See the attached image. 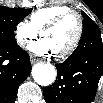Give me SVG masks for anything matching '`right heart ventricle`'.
Here are the masks:
<instances>
[{"instance_id":"1","label":"right heart ventricle","mask_w":103,"mask_h":103,"mask_svg":"<svg viewBox=\"0 0 103 103\" xmlns=\"http://www.w3.org/2000/svg\"><path fill=\"white\" fill-rule=\"evenodd\" d=\"M71 10L69 6L66 5H50L36 10L30 16V22L39 31L49 22H51L58 15Z\"/></svg>"}]
</instances>
